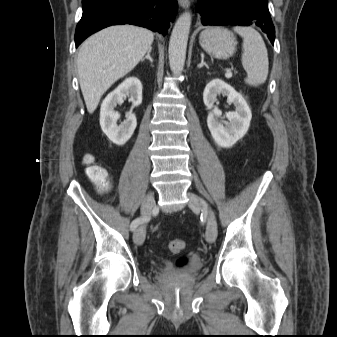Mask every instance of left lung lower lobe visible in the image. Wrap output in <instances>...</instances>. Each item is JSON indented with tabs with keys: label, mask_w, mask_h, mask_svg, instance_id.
<instances>
[{
	"label": "left lung lower lobe",
	"mask_w": 337,
	"mask_h": 337,
	"mask_svg": "<svg viewBox=\"0 0 337 337\" xmlns=\"http://www.w3.org/2000/svg\"><path fill=\"white\" fill-rule=\"evenodd\" d=\"M197 11L203 25H256L274 44L275 28L268 9V0H199Z\"/></svg>",
	"instance_id": "left-lung-lower-lobe-1"
}]
</instances>
